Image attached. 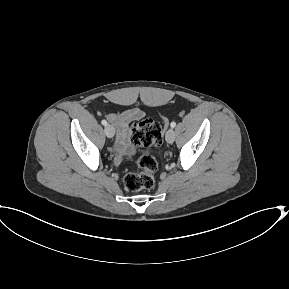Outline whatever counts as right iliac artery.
Returning <instances> with one entry per match:
<instances>
[{
	"instance_id": "right-iliac-artery-1",
	"label": "right iliac artery",
	"mask_w": 289,
	"mask_h": 289,
	"mask_svg": "<svg viewBox=\"0 0 289 289\" xmlns=\"http://www.w3.org/2000/svg\"><path fill=\"white\" fill-rule=\"evenodd\" d=\"M101 123H102V125H104V126L107 125V121H106V120H102Z\"/></svg>"
}]
</instances>
